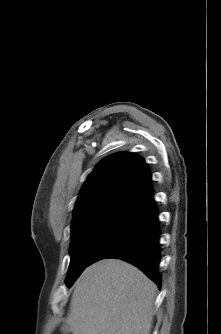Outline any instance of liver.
I'll use <instances>...</instances> for the list:
<instances>
[{
  "mask_svg": "<svg viewBox=\"0 0 221 334\" xmlns=\"http://www.w3.org/2000/svg\"><path fill=\"white\" fill-rule=\"evenodd\" d=\"M156 290L133 265L101 260L76 281L66 323L73 334H150Z\"/></svg>",
  "mask_w": 221,
  "mask_h": 334,
  "instance_id": "obj_1",
  "label": "liver"
}]
</instances>
